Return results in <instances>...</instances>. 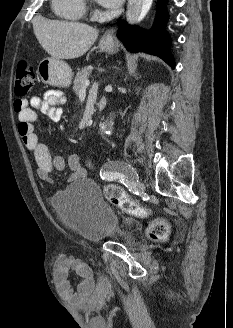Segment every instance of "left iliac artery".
<instances>
[{
  "instance_id": "obj_1",
  "label": "left iliac artery",
  "mask_w": 233,
  "mask_h": 328,
  "mask_svg": "<svg viewBox=\"0 0 233 328\" xmlns=\"http://www.w3.org/2000/svg\"><path fill=\"white\" fill-rule=\"evenodd\" d=\"M102 179L105 180H116L118 179L121 183H123L126 187L128 188H133L134 186L128 181V179L126 178V176L122 173L119 172H103L101 174Z\"/></svg>"
}]
</instances>
